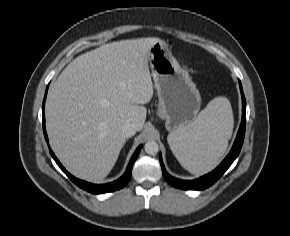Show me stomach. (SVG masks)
I'll use <instances>...</instances> for the list:
<instances>
[{
  "label": "stomach",
  "instance_id": "obj_1",
  "mask_svg": "<svg viewBox=\"0 0 290 236\" xmlns=\"http://www.w3.org/2000/svg\"><path fill=\"white\" fill-rule=\"evenodd\" d=\"M148 61L159 97L157 114L165 120L166 129L175 133L196 120L201 106L199 90L166 42L152 45Z\"/></svg>",
  "mask_w": 290,
  "mask_h": 236
}]
</instances>
